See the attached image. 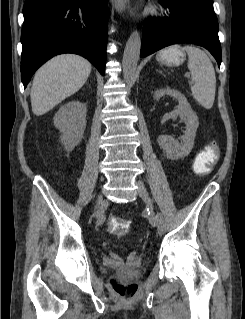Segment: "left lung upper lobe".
I'll return each instance as SVG.
<instances>
[{"label": "left lung upper lobe", "instance_id": "left-lung-upper-lobe-1", "mask_svg": "<svg viewBox=\"0 0 245 319\" xmlns=\"http://www.w3.org/2000/svg\"><path fill=\"white\" fill-rule=\"evenodd\" d=\"M202 6L208 7L210 9H213V0H192Z\"/></svg>", "mask_w": 245, "mask_h": 319}]
</instances>
